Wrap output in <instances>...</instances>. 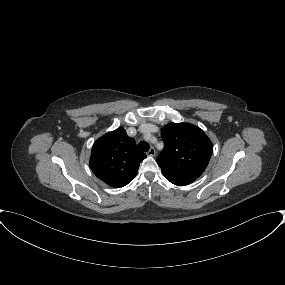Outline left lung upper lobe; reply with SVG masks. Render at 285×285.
<instances>
[{"instance_id": "obj_1", "label": "left lung upper lobe", "mask_w": 285, "mask_h": 285, "mask_svg": "<svg viewBox=\"0 0 285 285\" xmlns=\"http://www.w3.org/2000/svg\"><path fill=\"white\" fill-rule=\"evenodd\" d=\"M164 149L157 158L162 173L197 179L206 169L213 145L204 131L189 123H170L161 130Z\"/></svg>"}]
</instances>
